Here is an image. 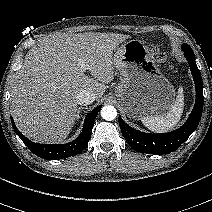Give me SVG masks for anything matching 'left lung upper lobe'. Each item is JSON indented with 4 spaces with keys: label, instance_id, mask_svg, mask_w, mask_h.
I'll use <instances>...</instances> for the list:
<instances>
[{
    "label": "left lung upper lobe",
    "instance_id": "5c2ea615",
    "mask_svg": "<svg viewBox=\"0 0 212 212\" xmlns=\"http://www.w3.org/2000/svg\"><path fill=\"white\" fill-rule=\"evenodd\" d=\"M182 49L186 53H194L193 50L191 49V47L189 45H187V44H183L182 45Z\"/></svg>",
    "mask_w": 212,
    "mask_h": 212
}]
</instances>
